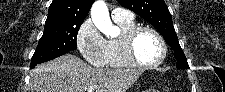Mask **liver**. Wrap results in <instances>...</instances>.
Segmentation results:
<instances>
[{"instance_id":"6515ba94","label":"liver","mask_w":225,"mask_h":92,"mask_svg":"<svg viewBox=\"0 0 225 92\" xmlns=\"http://www.w3.org/2000/svg\"><path fill=\"white\" fill-rule=\"evenodd\" d=\"M143 73L139 69H95L72 54L38 65L30 73L29 92H126Z\"/></svg>"}]
</instances>
